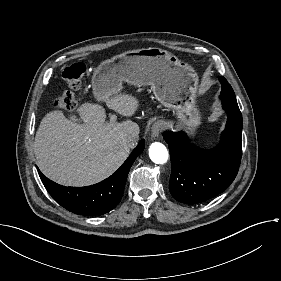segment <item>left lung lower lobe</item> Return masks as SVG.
I'll return each instance as SVG.
<instances>
[{
	"instance_id": "0a47b994",
	"label": "left lung lower lobe",
	"mask_w": 281,
	"mask_h": 281,
	"mask_svg": "<svg viewBox=\"0 0 281 281\" xmlns=\"http://www.w3.org/2000/svg\"><path fill=\"white\" fill-rule=\"evenodd\" d=\"M228 118L221 141L211 150L188 142L184 132L163 133L169 145V190L179 202L197 204L223 192L235 179L242 155V115L236 99L220 98Z\"/></svg>"
}]
</instances>
